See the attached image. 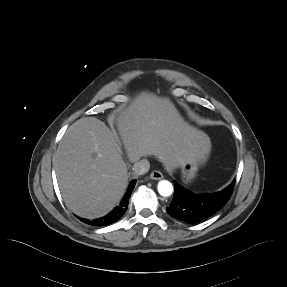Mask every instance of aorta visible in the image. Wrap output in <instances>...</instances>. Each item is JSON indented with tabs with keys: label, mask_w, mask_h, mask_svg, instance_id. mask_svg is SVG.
Masks as SVG:
<instances>
[{
	"label": "aorta",
	"mask_w": 287,
	"mask_h": 287,
	"mask_svg": "<svg viewBox=\"0 0 287 287\" xmlns=\"http://www.w3.org/2000/svg\"><path fill=\"white\" fill-rule=\"evenodd\" d=\"M158 192L163 197H168L173 193V185L168 180H161L157 186Z\"/></svg>",
	"instance_id": "762f6f07"
}]
</instances>
